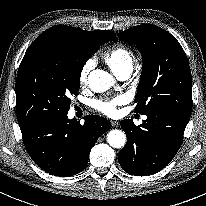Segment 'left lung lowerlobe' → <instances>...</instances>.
Listing matches in <instances>:
<instances>
[{"mask_svg":"<svg viewBox=\"0 0 206 206\" xmlns=\"http://www.w3.org/2000/svg\"><path fill=\"white\" fill-rule=\"evenodd\" d=\"M147 119L136 126L132 119L121 121L127 143L118 155L124 171L146 176L162 170L178 152L191 113L153 109Z\"/></svg>","mask_w":206,"mask_h":206,"instance_id":"left-lung-lower-lobe-1","label":"left lung lower lobe"}]
</instances>
